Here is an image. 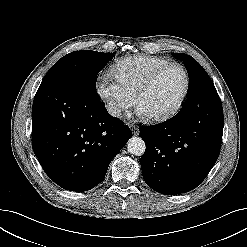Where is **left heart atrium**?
<instances>
[{
  "label": "left heart atrium",
  "mask_w": 247,
  "mask_h": 247,
  "mask_svg": "<svg viewBox=\"0 0 247 247\" xmlns=\"http://www.w3.org/2000/svg\"><path fill=\"white\" fill-rule=\"evenodd\" d=\"M138 112H139V114H141V115L147 116V113H146L142 108H140V107H138Z\"/></svg>",
  "instance_id": "1"
}]
</instances>
